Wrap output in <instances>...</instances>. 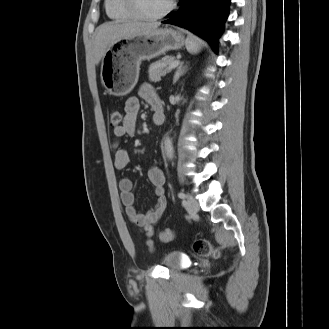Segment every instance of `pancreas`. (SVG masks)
Masks as SVG:
<instances>
[{"label":"pancreas","mask_w":329,"mask_h":329,"mask_svg":"<svg viewBox=\"0 0 329 329\" xmlns=\"http://www.w3.org/2000/svg\"><path fill=\"white\" fill-rule=\"evenodd\" d=\"M175 61L174 57L166 56L159 61H156L149 66V79L151 82H158L161 80V76L166 74L168 67Z\"/></svg>","instance_id":"cf45deb5"}]
</instances>
